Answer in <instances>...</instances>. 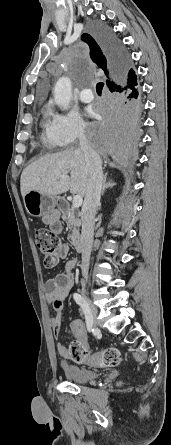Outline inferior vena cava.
Here are the masks:
<instances>
[{"mask_svg":"<svg viewBox=\"0 0 171 445\" xmlns=\"http://www.w3.org/2000/svg\"><path fill=\"white\" fill-rule=\"evenodd\" d=\"M80 150L83 152L86 167L89 173V181L82 207V264L81 270L83 279L81 284L85 287L88 280L89 261L93 244L95 213L100 206V197L102 192L103 173L102 161L97 152L90 146L88 138L84 131L79 135Z\"/></svg>","mask_w":171,"mask_h":445,"instance_id":"inferior-vena-cava-1","label":"inferior vena cava"}]
</instances>
